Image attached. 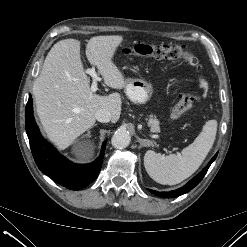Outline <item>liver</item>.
<instances>
[{"label": "liver", "mask_w": 247, "mask_h": 247, "mask_svg": "<svg viewBox=\"0 0 247 247\" xmlns=\"http://www.w3.org/2000/svg\"><path fill=\"white\" fill-rule=\"evenodd\" d=\"M120 35L95 36L86 45V57L97 67L104 83L113 89L126 85L123 73L112 61L122 43ZM33 95L37 114L51 142L63 150L95 124V112L106 109L112 122L120 118L122 99L119 93L100 96L91 92L80 55V41L64 39L47 54L40 75L34 82ZM93 147L78 155L89 161Z\"/></svg>", "instance_id": "1"}]
</instances>
